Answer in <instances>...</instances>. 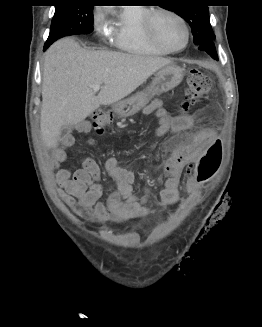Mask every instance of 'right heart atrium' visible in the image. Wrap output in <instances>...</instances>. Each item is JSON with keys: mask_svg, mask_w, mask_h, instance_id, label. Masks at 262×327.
Segmentation results:
<instances>
[{"mask_svg": "<svg viewBox=\"0 0 262 327\" xmlns=\"http://www.w3.org/2000/svg\"><path fill=\"white\" fill-rule=\"evenodd\" d=\"M93 26L100 33H103L105 31L104 17L100 13H95L94 14V16H93Z\"/></svg>", "mask_w": 262, "mask_h": 327, "instance_id": "right-heart-atrium-1", "label": "right heart atrium"}]
</instances>
